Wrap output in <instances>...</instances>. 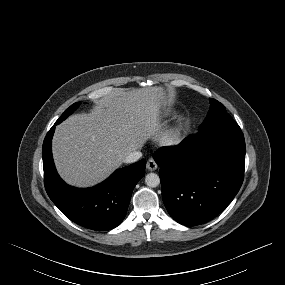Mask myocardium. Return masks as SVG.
<instances>
[{
  "instance_id": "f54148a6",
  "label": "myocardium",
  "mask_w": 285,
  "mask_h": 285,
  "mask_svg": "<svg viewBox=\"0 0 285 285\" xmlns=\"http://www.w3.org/2000/svg\"><path fill=\"white\" fill-rule=\"evenodd\" d=\"M178 137V130L173 129L171 130L164 138V144L171 145L173 144Z\"/></svg>"
}]
</instances>
